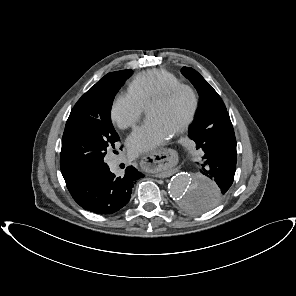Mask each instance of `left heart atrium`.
Segmentation results:
<instances>
[{"instance_id":"39dd6f15","label":"left heart atrium","mask_w":296,"mask_h":296,"mask_svg":"<svg viewBox=\"0 0 296 296\" xmlns=\"http://www.w3.org/2000/svg\"><path fill=\"white\" fill-rule=\"evenodd\" d=\"M174 131L159 119L148 117L137 127L127 139V147L131 154H146L163 145Z\"/></svg>"}]
</instances>
